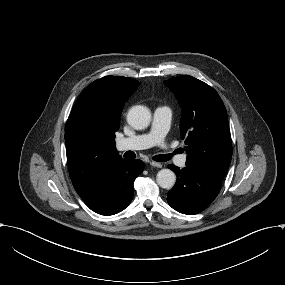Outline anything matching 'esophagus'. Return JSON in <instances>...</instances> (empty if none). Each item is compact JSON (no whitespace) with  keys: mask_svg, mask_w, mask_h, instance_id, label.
Here are the masks:
<instances>
[{"mask_svg":"<svg viewBox=\"0 0 285 285\" xmlns=\"http://www.w3.org/2000/svg\"><path fill=\"white\" fill-rule=\"evenodd\" d=\"M150 165L153 167H157V168H162L163 165L161 163L155 162V161H151Z\"/></svg>","mask_w":285,"mask_h":285,"instance_id":"esophagus-1","label":"esophagus"}]
</instances>
